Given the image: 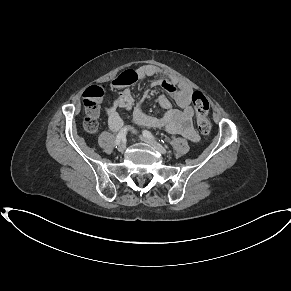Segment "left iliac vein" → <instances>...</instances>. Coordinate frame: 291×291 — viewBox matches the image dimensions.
<instances>
[{"label": "left iliac vein", "mask_w": 291, "mask_h": 291, "mask_svg": "<svg viewBox=\"0 0 291 291\" xmlns=\"http://www.w3.org/2000/svg\"><path fill=\"white\" fill-rule=\"evenodd\" d=\"M140 139L148 144H150L152 147H154L159 153L166 154L167 150L158 142L155 140H152L150 138L145 137L144 135L140 136Z\"/></svg>", "instance_id": "4c4485c4"}]
</instances>
